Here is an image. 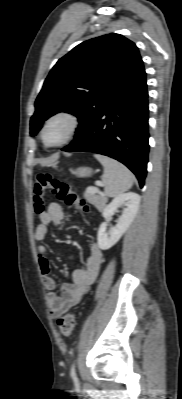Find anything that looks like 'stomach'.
I'll list each match as a JSON object with an SVG mask.
<instances>
[{
	"label": "stomach",
	"mask_w": 182,
	"mask_h": 399,
	"mask_svg": "<svg viewBox=\"0 0 182 399\" xmlns=\"http://www.w3.org/2000/svg\"><path fill=\"white\" fill-rule=\"evenodd\" d=\"M71 173L79 177L90 176L92 169L90 167H79L75 170H71Z\"/></svg>",
	"instance_id": "stomach-1"
}]
</instances>
